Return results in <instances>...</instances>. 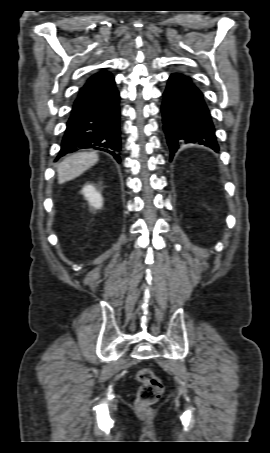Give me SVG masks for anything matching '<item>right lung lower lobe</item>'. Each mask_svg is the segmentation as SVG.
<instances>
[{"label": "right lung lower lobe", "mask_w": 270, "mask_h": 453, "mask_svg": "<svg viewBox=\"0 0 270 453\" xmlns=\"http://www.w3.org/2000/svg\"><path fill=\"white\" fill-rule=\"evenodd\" d=\"M119 100L110 73L101 71L91 76L74 101L57 159L82 148H93L120 162Z\"/></svg>", "instance_id": "98d812e1"}]
</instances>
